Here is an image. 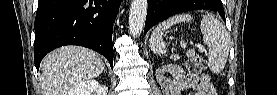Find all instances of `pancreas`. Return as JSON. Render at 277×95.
Here are the masks:
<instances>
[{
	"label": "pancreas",
	"mask_w": 277,
	"mask_h": 95,
	"mask_svg": "<svg viewBox=\"0 0 277 95\" xmlns=\"http://www.w3.org/2000/svg\"><path fill=\"white\" fill-rule=\"evenodd\" d=\"M171 58H172L173 60H178L179 56H178V55H172Z\"/></svg>",
	"instance_id": "pancreas-1"
}]
</instances>
